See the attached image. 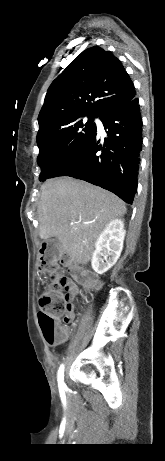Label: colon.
<instances>
[{"instance_id": "1", "label": "colon", "mask_w": 165, "mask_h": 461, "mask_svg": "<svg viewBox=\"0 0 165 461\" xmlns=\"http://www.w3.org/2000/svg\"><path fill=\"white\" fill-rule=\"evenodd\" d=\"M39 268L49 280L46 292L39 299L38 319L45 340L50 344H56L62 337L57 327V317L62 313H69L62 300L63 292L69 291L67 277L58 263L57 254L52 244H45L39 258ZM92 286L89 282H84Z\"/></svg>"}]
</instances>
